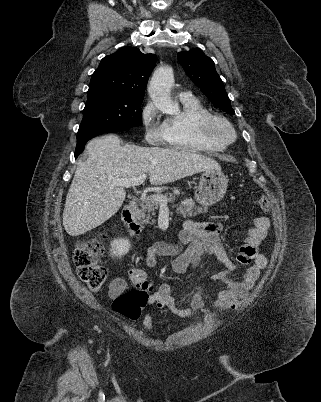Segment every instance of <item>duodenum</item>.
I'll list each match as a JSON object with an SVG mask.
<instances>
[{
    "mask_svg": "<svg viewBox=\"0 0 321 402\" xmlns=\"http://www.w3.org/2000/svg\"><path fill=\"white\" fill-rule=\"evenodd\" d=\"M137 200L130 201L122 212V220L127 230L136 238H141L143 226L137 218L138 213Z\"/></svg>",
    "mask_w": 321,
    "mask_h": 402,
    "instance_id": "obj_1",
    "label": "duodenum"
}]
</instances>
